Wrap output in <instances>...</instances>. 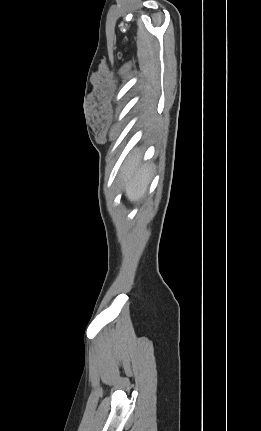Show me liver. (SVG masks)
<instances>
[{"label": "liver", "mask_w": 261, "mask_h": 431, "mask_svg": "<svg viewBox=\"0 0 261 431\" xmlns=\"http://www.w3.org/2000/svg\"><path fill=\"white\" fill-rule=\"evenodd\" d=\"M140 158L139 154L131 157L122 171V184L126 197L130 201L141 200L151 180L152 167L148 165L140 166Z\"/></svg>", "instance_id": "obj_1"}]
</instances>
